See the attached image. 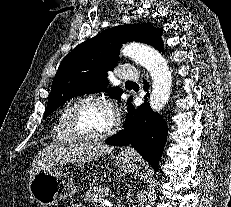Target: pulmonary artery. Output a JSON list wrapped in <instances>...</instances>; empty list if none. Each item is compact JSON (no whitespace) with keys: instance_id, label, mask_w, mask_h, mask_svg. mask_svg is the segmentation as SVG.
I'll use <instances>...</instances> for the list:
<instances>
[{"instance_id":"pulmonary-artery-1","label":"pulmonary artery","mask_w":231,"mask_h":207,"mask_svg":"<svg viewBox=\"0 0 231 207\" xmlns=\"http://www.w3.org/2000/svg\"><path fill=\"white\" fill-rule=\"evenodd\" d=\"M117 77L122 80H132L135 81L138 79V71L131 66H121Z\"/></svg>"}]
</instances>
